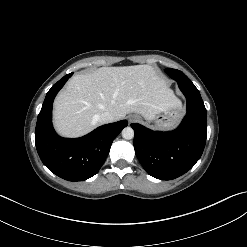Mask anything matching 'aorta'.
Here are the masks:
<instances>
[{
  "label": "aorta",
  "instance_id": "762f6f07",
  "mask_svg": "<svg viewBox=\"0 0 247 247\" xmlns=\"http://www.w3.org/2000/svg\"><path fill=\"white\" fill-rule=\"evenodd\" d=\"M122 137L127 140L132 139L134 137V130L131 127H125L122 130Z\"/></svg>",
  "mask_w": 247,
  "mask_h": 247
}]
</instances>
